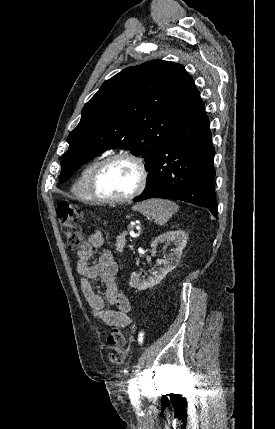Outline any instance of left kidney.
Returning <instances> with one entry per match:
<instances>
[{
    "label": "left kidney",
    "instance_id": "left-kidney-1",
    "mask_svg": "<svg viewBox=\"0 0 275 429\" xmlns=\"http://www.w3.org/2000/svg\"><path fill=\"white\" fill-rule=\"evenodd\" d=\"M173 242L175 248L171 250V253L168 255L166 259H158L157 263L162 265L163 268H160L158 271L153 272L152 277L148 279H141L140 275L136 272H133L129 285L138 290H145L147 288H152L153 286L160 283V281L176 266L179 264L182 250L186 246L187 236L182 230H175L166 232L158 237H156L152 243L151 247L156 248L161 243H170Z\"/></svg>",
    "mask_w": 275,
    "mask_h": 429
}]
</instances>
